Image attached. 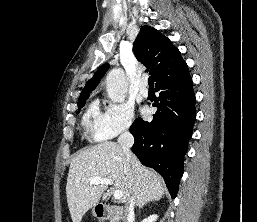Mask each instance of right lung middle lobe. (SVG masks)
<instances>
[{
    "mask_svg": "<svg viewBox=\"0 0 257 222\" xmlns=\"http://www.w3.org/2000/svg\"><path fill=\"white\" fill-rule=\"evenodd\" d=\"M86 100L87 99H85L84 101H82L81 103L78 104L79 109H81L85 105Z\"/></svg>",
    "mask_w": 257,
    "mask_h": 222,
    "instance_id": "right-lung-middle-lobe-1",
    "label": "right lung middle lobe"
}]
</instances>
